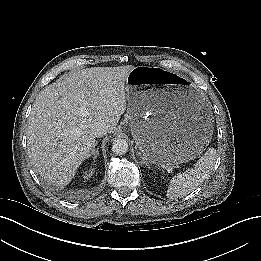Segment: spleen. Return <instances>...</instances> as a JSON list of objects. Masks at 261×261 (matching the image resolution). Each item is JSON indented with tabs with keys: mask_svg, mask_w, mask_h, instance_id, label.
<instances>
[{
	"mask_svg": "<svg viewBox=\"0 0 261 261\" xmlns=\"http://www.w3.org/2000/svg\"><path fill=\"white\" fill-rule=\"evenodd\" d=\"M216 158V150L209 148L193 169L179 173L170 180L166 196L171 199L180 198L194 191L209 176Z\"/></svg>",
	"mask_w": 261,
	"mask_h": 261,
	"instance_id": "3e777b00",
	"label": "spleen"
}]
</instances>
